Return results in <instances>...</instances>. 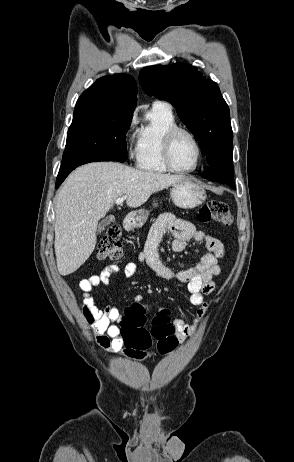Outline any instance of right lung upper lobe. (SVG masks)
I'll use <instances>...</instances> for the list:
<instances>
[{
    "mask_svg": "<svg viewBox=\"0 0 294 462\" xmlns=\"http://www.w3.org/2000/svg\"><path fill=\"white\" fill-rule=\"evenodd\" d=\"M137 102L135 79L127 74H115L98 79L79 97L75 111L110 110L133 113Z\"/></svg>",
    "mask_w": 294,
    "mask_h": 462,
    "instance_id": "obj_1",
    "label": "right lung upper lobe"
}]
</instances>
